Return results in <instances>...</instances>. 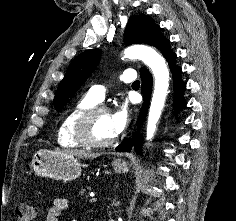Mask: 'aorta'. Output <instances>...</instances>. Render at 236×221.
Here are the masks:
<instances>
[{
    "label": "aorta",
    "mask_w": 236,
    "mask_h": 221,
    "mask_svg": "<svg viewBox=\"0 0 236 221\" xmlns=\"http://www.w3.org/2000/svg\"><path fill=\"white\" fill-rule=\"evenodd\" d=\"M124 57L142 60L153 72L154 92L150 104L146 139L151 140L164 107L169 87V71L164 58L153 48L146 45H133L125 49Z\"/></svg>",
    "instance_id": "aorta-1"
}]
</instances>
